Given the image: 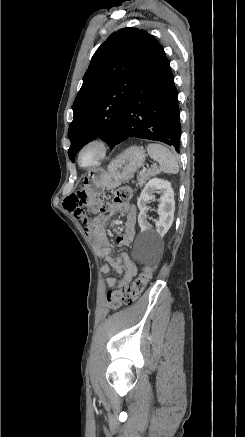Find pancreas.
<instances>
[{
	"instance_id": "cf45deb5",
	"label": "pancreas",
	"mask_w": 245,
	"mask_h": 437,
	"mask_svg": "<svg viewBox=\"0 0 245 437\" xmlns=\"http://www.w3.org/2000/svg\"><path fill=\"white\" fill-rule=\"evenodd\" d=\"M159 173H160V171L157 168L153 167L152 169L148 170L147 172L140 174L138 176V179H137L138 180L137 186L142 187L146 183L147 180H149L152 176H155L156 174H159Z\"/></svg>"
}]
</instances>
